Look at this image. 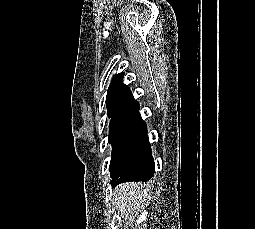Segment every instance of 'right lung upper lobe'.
<instances>
[{"mask_svg": "<svg viewBox=\"0 0 255 229\" xmlns=\"http://www.w3.org/2000/svg\"><path fill=\"white\" fill-rule=\"evenodd\" d=\"M123 76V73L115 75L107 91L106 104L111 120L139 108L128 86L122 83Z\"/></svg>", "mask_w": 255, "mask_h": 229, "instance_id": "obj_1", "label": "right lung upper lobe"}]
</instances>
